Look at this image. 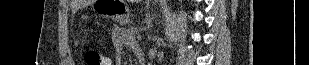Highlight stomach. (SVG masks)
<instances>
[{"label": "stomach", "instance_id": "stomach-1", "mask_svg": "<svg viewBox=\"0 0 309 65\" xmlns=\"http://www.w3.org/2000/svg\"><path fill=\"white\" fill-rule=\"evenodd\" d=\"M94 9L103 17L123 24L124 15L127 14L128 6L125 0H98Z\"/></svg>", "mask_w": 309, "mask_h": 65}]
</instances>
